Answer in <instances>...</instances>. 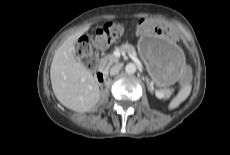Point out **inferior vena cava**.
Segmentation results:
<instances>
[{"label":"inferior vena cava","instance_id":"602c4592","mask_svg":"<svg viewBox=\"0 0 230 155\" xmlns=\"http://www.w3.org/2000/svg\"><path fill=\"white\" fill-rule=\"evenodd\" d=\"M121 67H122L121 64L114 65V66L110 69V75H111V76L116 75V74L120 71Z\"/></svg>","mask_w":230,"mask_h":155}]
</instances>
